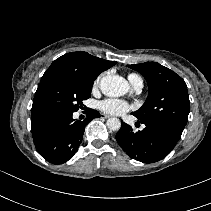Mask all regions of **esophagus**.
I'll return each mask as SVG.
<instances>
[{
    "instance_id": "esophagus-1",
    "label": "esophagus",
    "mask_w": 211,
    "mask_h": 211,
    "mask_svg": "<svg viewBox=\"0 0 211 211\" xmlns=\"http://www.w3.org/2000/svg\"><path fill=\"white\" fill-rule=\"evenodd\" d=\"M100 116H101V118H103V119L110 118V116H109V115H107V114H103V113H102Z\"/></svg>"
}]
</instances>
